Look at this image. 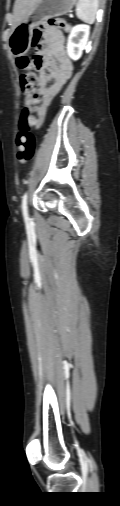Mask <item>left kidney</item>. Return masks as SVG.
<instances>
[{
	"instance_id": "obj_1",
	"label": "left kidney",
	"mask_w": 120,
	"mask_h": 506,
	"mask_svg": "<svg viewBox=\"0 0 120 506\" xmlns=\"http://www.w3.org/2000/svg\"><path fill=\"white\" fill-rule=\"evenodd\" d=\"M90 33V27L86 25H76L72 28L67 42V54L73 60H78L82 56Z\"/></svg>"
}]
</instances>
